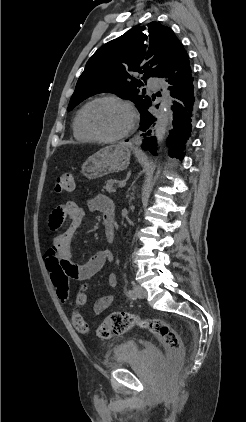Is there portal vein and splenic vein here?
<instances>
[{"instance_id":"18ae733b","label":"portal vein and splenic vein","mask_w":246,"mask_h":422,"mask_svg":"<svg viewBox=\"0 0 246 422\" xmlns=\"http://www.w3.org/2000/svg\"><path fill=\"white\" fill-rule=\"evenodd\" d=\"M126 185V182H121L119 185H118V187L119 188H122V187H124Z\"/></svg>"}]
</instances>
